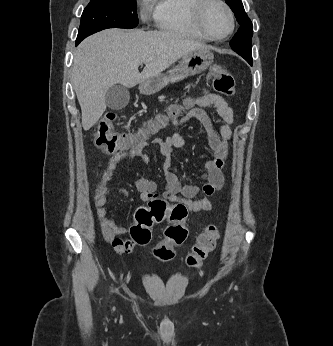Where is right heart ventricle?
<instances>
[{
    "instance_id": "right-heart-ventricle-1",
    "label": "right heart ventricle",
    "mask_w": 333,
    "mask_h": 346,
    "mask_svg": "<svg viewBox=\"0 0 333 346\" xmlns=\"http://www.w3.org/2000/svg\"><path fill=\"white\" fill-rule=\"evenodd\" d=\"M151 1L154 3L153 19L158 28L200 42L209 40L194 19V5L197 0Z\"/></svg>"
}]
</instances>
